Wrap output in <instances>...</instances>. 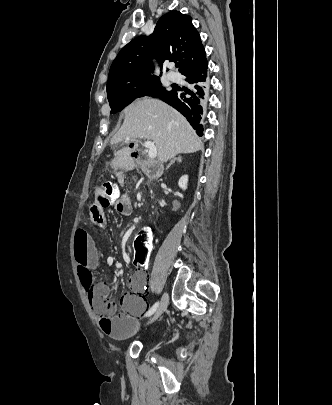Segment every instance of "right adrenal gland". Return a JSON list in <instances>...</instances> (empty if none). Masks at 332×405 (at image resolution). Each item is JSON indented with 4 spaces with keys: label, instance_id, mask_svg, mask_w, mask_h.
Returning a JSON list of instances; mask_svg holds the SVG:
<instances>
[{
    "label": "right adrenal gland",
    "instance_id": "right-adrenal-gland-1",
    "mask_svg": "<svg viewBox=\"0 0 332 405\" xmlns=\"http://www.w3.org/2000/svg\"><path fill=\"white\" fill-rule=\"evenodd\" d=\"M175 162H182V157L181 156H178V157H176V158H173L171 161H170V163L168 164V166H167V168L166 169H168L172 164H174Z\"/></svg>",
    "mask_w": 332,
    "mask_h": 405
}]
</instances>
